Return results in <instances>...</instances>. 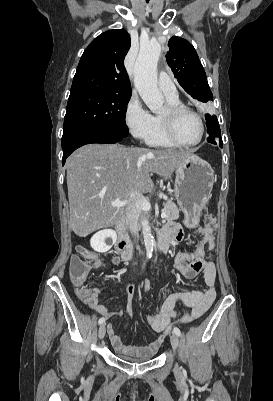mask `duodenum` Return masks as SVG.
<instances>
[{
	"label": "duodenum",
	"mask_w": 273,
	"mask_h": 401,
	"mask_svg": "<svg viewBox=\"0 0 273 401\" xmlns=\"http://www.w3.org/2000/svg\"><path fill=\"white\" fill-rule=\"evenodd\" d=\"M117 234L118 238L116 242V251L123 260H133L135 257V248L134 245L128 240L125 221H122L117 225ZM170 242V238L162 233L157 245V253L159 255L163 254L169 247Z\"/></svg>",
	"instance_id": "obj_1"
}]
</instances>
